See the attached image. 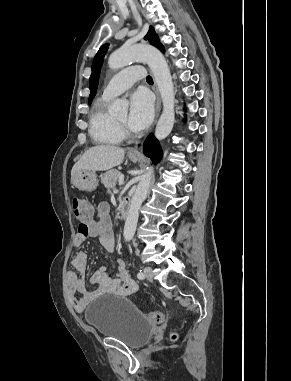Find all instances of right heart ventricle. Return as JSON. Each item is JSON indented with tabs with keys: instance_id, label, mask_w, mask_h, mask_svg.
I'll use <instances>...</instances> for the list:
<instances>
[{
	"instance_id": "1",
	"label": "right heart ventricle",
	"mask_w": 291,
	"mask_h": 381,
	"mask_svg": "<svg viewBox=\"0 0 291 381\" xmlns=\"http://www.w3.org/2000/svg\"><path fill=\"white\" fill-rule=\"evenodd\" d=\"M111 98L102 96L93 105L89 115V134L98 145H118L123 140L115 118L108 112Z\"/></svg>"
}]
</instances>
